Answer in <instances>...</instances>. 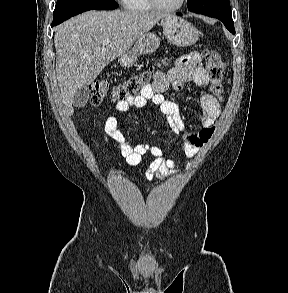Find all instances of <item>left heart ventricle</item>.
Returning a JSON list of instances; mask_svg holds the SVG:
<instances>
[{
    "label": "left heart ventricle",
    "mask_w": 288,
    "mask_h": 293,
    "mask_svg": "<svg viewBox=\"0 0 288 293\" xmlns=\"http://www.w3.org/2000/svg\"><path fill=\"white\" fill-rule=\"evenodd\" d=\"M164 6H174L179 0H158Z\"/></svg>",
    "instance_id": "left-heart-ventricle-1"
}]
</instances>
